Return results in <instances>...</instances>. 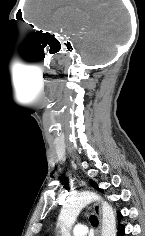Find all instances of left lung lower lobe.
<instances>
[{
	"instance_id": "0a47b994",
	"label": "left lung lower lobe",
	"mask_w": 145,
	"mask_h": 236,
	"mask_svg": "<svg viewBox=\"0 0 145 236\" xmlns=\"http://www.w3.org/2000/svg\"><path fill=\"white\" fill-rule=\"evenodd\" d=\"M118 218H122V215L120 212H118ZM125 234L124 227L122 225L118 226V236H123Z\"/></svg>"
}]
</instances>
